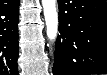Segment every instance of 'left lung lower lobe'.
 Returning <instances> with one entry per match:
<instances>
[{
    "label": "left lung lower lobe",
    "instance_id": "0a47b994",
    "mask_svg": "<svg viewBox=\"0 0 107 75\" xmlns=\"http://www.w3.org/2000/svg\"><path fill=\"white\" fill-rule=\"evenodd\" d=\"M60 33L56 43L53 75L107 73V9L104 0H61ZM77 16L83 26L78 40L67 36L69 23Z\"/></svg>",
    "mask_w": 107,
    "mask_h": 75
}]
</instances>
